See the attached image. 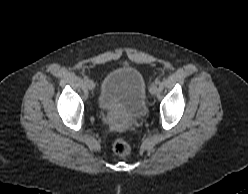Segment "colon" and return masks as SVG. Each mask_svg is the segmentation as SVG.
Listing matches in <instances>:
<instances>
[{
  "mask_svg": "<svg viewBox=\"0 0 248 194\" xmlns=\"http://www.w3.org/2000/svg\"><path fill=\"white\" fill-rule=\"evenodd\" d=\"M113 151L119 156H126L131 151V146L124 138H117L113 143Z\"/></svg>",
  "mask_w": 248,
  "mask_h": 194,
  "instance_id": "5ec220e1",
  "label": "colon"
}]
</instances>
